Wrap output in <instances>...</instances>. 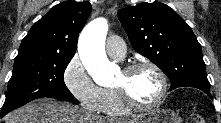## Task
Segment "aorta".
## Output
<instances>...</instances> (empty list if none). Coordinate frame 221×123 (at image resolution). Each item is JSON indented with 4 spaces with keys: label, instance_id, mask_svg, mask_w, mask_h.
I'll return each instance as SVG.
<instances>
[{
    "label": "aorta",
    "instance_id": "1",
    "mask_svg": "<svg viewBox=\"0 0 221 123\" xmlns=\"http://www.w3.org/2000/svg\"><path fill=\"white\" fill-rule=\"evenodd\" d=\"M107 32V20L94 19L85 26L78 42V52L84 67L93 80L101 86L110 84L116 71V67L108 60L105 53Z\"/></svg>",
    "mask_w": 221,
    "mask_h": 123
}]
</instances>
